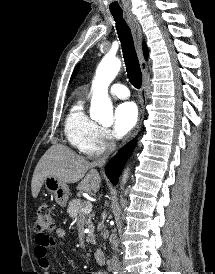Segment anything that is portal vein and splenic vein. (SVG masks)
Here are the masks:
<instances>
[{
	"label": "portal vein and splenic vein",
	"mask_w": 215,
	"mask_h": 274,
	"mask_svg": "<svg viewBox=\"0 0 215 274\" xmlns=\"http://www.w3.org/2000/svg\"><path fill=\"white\" fill-rule=\"evenodd\" d=\"M91 210H92V204L89 201L85 202V205L82 208V212L89 213Z\"/></svg>",
	"instance_id": "18ae733b"
}]
</instances>
